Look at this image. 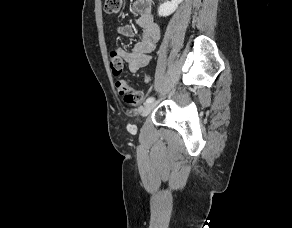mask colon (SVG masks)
Segmentation results:
<instances>
[{"label":"colon","instance_id":"obj_1","mask_svg":"<svg viewBox=\"0 0 292 228\" xmlns=\"http://www.w3.org/2000/svg\"><path fill=\"white\" fill-rule=\"evenodd\" d=\"M122 3L123 0H105V9L108 13H117L120 11ZM110 67L115 75H120L122 73V61L113 54L110 56ZM116 87L127 104L137 106L142 102V92L134 89L127 80L120 79L117 81Z\"/></svg>","mask_w":292,"mask_h":228}]
</instances>
